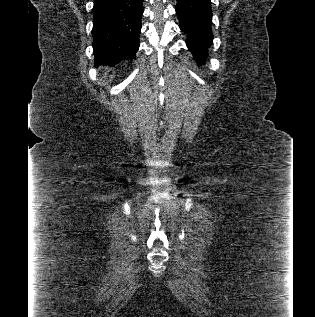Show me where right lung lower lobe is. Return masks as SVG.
Here are the masks:
<instances>
[{
	"label": "right lung lower lobe",
	"instance_id": "98d812e1",
	"mask_svg": "<svg viewBox=\"0 0 315 317\" xmlns=\"http://www.w3.org/2000/svg\"><path fill=\"white\" fill-rule=\"evenodd\" d=\"M143 0H95L93 49L95 65L114 66L122 59H135Z\"/></svg>",
	"mask_w": 315,
	"mask_h": 317
}]
</instances>
